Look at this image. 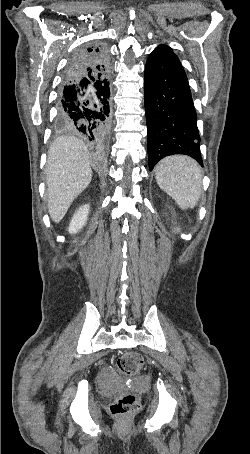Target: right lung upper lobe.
<instances>
[{
  "instance_id": "1",
  "label": "right lung upper lobe",
  "mask_w": 250,
  "mask_h": 454,
  "mask_svg": "<svg viewBox=\"0 0 250 454\" xmlns=\"http://www.w3.org/2000/svg\"><path fill=\"white\" fill-rule=\"evenodd\" d=\"M89 65L92 66V67L95 69V71L103 73V71H104L105 68L107 69V67H110V61L106 64V67H105V66H104V67L99 66V65L97 64V60H94V63H89ZM103 68H104V69H103ZM102 69H103V70H102Z\"/></svg>"
}]
</instances>
